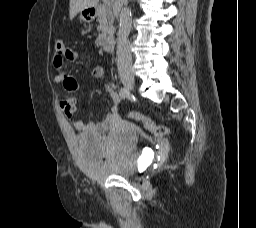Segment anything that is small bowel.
Wrapping results in <instances>:
<instances>
[{
	"label": "small bowel",
	"instance_id": "small-bowel-1",
	"mask_svg": "<svg viewBox=\"0 0 256 228\" xmlns=\"http://www.w3.org/2000/svg\"><path fill=\"white\" fill-rule=\"evenodd\" d=\"M79 59V54L74 49H68L66 56L62 59L53 57V66L57 74L54 81L62 84L68 92H75L78 90V83L76 79L64 71V61L75 62ZM94 78H101L103 76V69L99 66L94 67L92 70ZM106 92L113 99L114 105L111 111L99 122H84L80 119L73 121V127L81 132L86 133H100L108 130L121 128L124 124L119 112L120 97L117 93V87L114 83L110 82L105 86ZM61 109L66 116L71 117L76 112V99L73 96H66L60 103Z\"/></svg>",
	"mask_w": 256,
	"mask_h": 228
}]
</instances>
